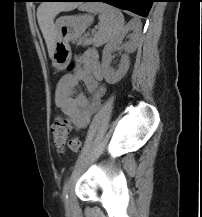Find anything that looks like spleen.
<instances>
[{"label":"spleen","mask_w":202,"mask_h":217,"mask_svg":"<svg viewBox=\"0 0 202 217\" xmlns=\"http://www.w3.org/2000/svg\"><path fill=\"white\" fill-rule=\"evenodd\" d=\"M81 10L99 14V30L94 35L95 46H101L114 39L124 28V17L121 11L105 3H86Z\"/></svg>","instance_id":"spleen-1"}]
</instances>
